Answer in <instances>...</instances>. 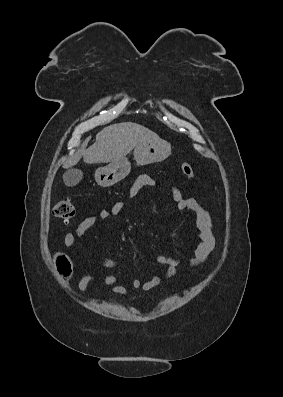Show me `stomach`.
<instances>
[{
    "label": "stomach",
    "mask_w": 283,
    "mask_h": 397,
    "mask_svg": "<svg viewBox=\"0 0 283 397\" xmlns=\"http://www.w3.org/2000/svg\"><path fill=\"white\" fill-rule=\"evenodd\" d=\"M137 165L143 166L165 160L171 154V145L162 139L143 142L134 150ZM131 171V164L127 158L110 162L95 171V180L102 187H109L124 179Z\"/></svg>",
    "instance_id": "obj_1"
}]
</instances>
